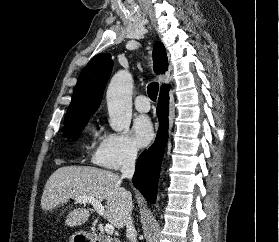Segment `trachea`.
I'll return each mask as SVG.
<instances>
[{
	"instance_id": "1",
	"label": "trachea",
	"mask_w": 279,
	"mask_h": 242,
	"mask_svg": "<svg viewBox=\"0 0 279 242\" xmlns=\"http://www.w3.org/2000/svg\"><path fill=\"white\" fill-rule=\"evenodd\" d=\"M158 90H159V84L157 82L150 83L147 86V93L149 98L152 101H156L157 95H158Z\"/></svg>"
}]
</instances>
